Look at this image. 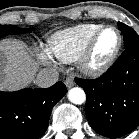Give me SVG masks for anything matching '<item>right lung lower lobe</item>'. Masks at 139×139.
Here are the masks:
<instances>
[{"mask_svg":"<svg viewBox=\"0 0 139 139\" xmlns=\"http://www.w3.org/2000/svg\"><path fill=\"white\" fill-rule=\"evenodd\" d=\"M57 82L49 88L0 91V139H38L46 131L54 105L66 94Z\"/></svg>","mask_w":139,"mask_h":139,"instance_id":"obj_1","label":"right lung lower lobe"}]
</instances>
